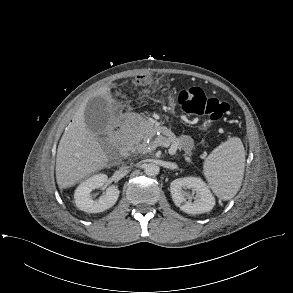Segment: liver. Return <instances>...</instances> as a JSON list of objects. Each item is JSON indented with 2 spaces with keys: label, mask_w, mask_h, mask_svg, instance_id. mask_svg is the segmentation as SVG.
<instances>
[{
  "label": "liver",
  "mask_w": 293,
  "mask_h": 293,
  "mask_svg": "<svg viewBox=\"0 0 293 293\" xmlns=\"http://www.w3.org/2000/svg\"><path fill=\"white\" fill-rule=\"evenodd\" d=\"M93 96L109 101L110 87L99 89ZM84 110L85 105L74 115L58 145L56 181L60 189L72 187L108 163L101 145L87 129Z\"/></svg>",
  "instance_id": "6515ba94"
}]
</instances>
